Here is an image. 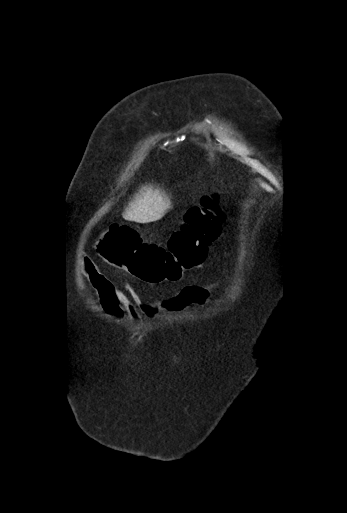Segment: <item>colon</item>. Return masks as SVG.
<instances>
[{
	"label": "colon",
	"mask_w": 347,
	"mask_h": 513,
	"mask_svg": "<svg viewBox=\"0 0 347 513\" xmlns=\"http://www.w3.org/2000/svg\"><path fill=\"white\" fill-rule=\"evenodd\" d=\"M224 216L219 195L209 194L187 211L167 247L144 242L132 228L114 224L98 241L97 249L110 265L145 283L160 285L183 278L204 262L208 247L220 234Z\"/></svg>",
	"instance_id": "colon-1"
}]
</instances>
